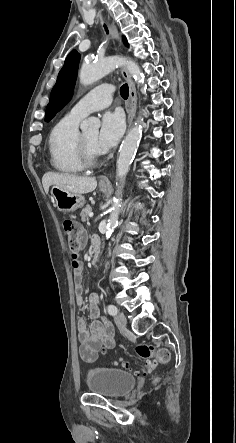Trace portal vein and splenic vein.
Here are the masks:
<instances>
[{
	"instance_id": "obj_1",
	"label": "portal vein and splenic vein",
	"mask_w": 236,
	"mask_h": 443,
	"mask_svg": "<svg viewBox=\"0 0 236 443\" xmlns=\"http://www.w3.org/2000/svg\"><path fill=\"white\" fill-rule=\"evenodd\" d=\"M89 217H93V213L92 212L89 213Z\"/></svg>"
}]
</instances>
